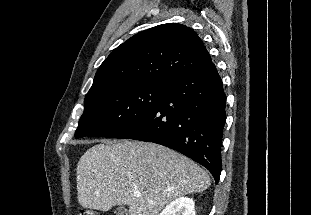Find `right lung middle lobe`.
<instances>
[{"label": "right lung middle lobe", "instance_id": "dd1d6c3e", "mask_svg": "<svg viewBox=\"0 0 311 215\" xmlns=\"http://www.w3.org/2000/svg\"><path fill=\"white\" fill-rule=\"evenodd\" d=\"M164 93L165 84H138L86 96L75 136L116 137L155 109Z\"/></svg>", "mask_w": 311, "mask_h": 215}]
</instances>
